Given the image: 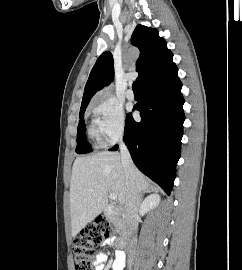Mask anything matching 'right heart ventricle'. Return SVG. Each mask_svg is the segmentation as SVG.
Here are the masks:
<instances>
[{
  "mask_svg": "<svg viewBox=\"0 0 242 270\" xmlns=\"http://www.w3.org/2000/svg\"><path fill=\"white\" fill-rule=\"evenodd\" d=\"M89 134H90L91 138L98 140L99 134H98L97 129L94 126H91L89 128Z\"/></svg>",
  "mask_w": 242,
  "mask_h": 270,
  "instance_id": "obj_1",
  "label": "right heart ventricle"
}]
</instances>
